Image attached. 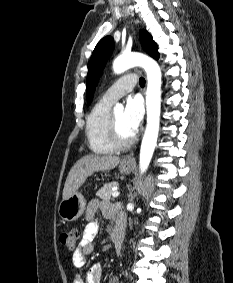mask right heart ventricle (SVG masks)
Here are the masks:
<instances>
[{
  "label": "right heart ventricle",
  "instance_id": "e07e8e85",
  "mask_svg": "<svg viewBox=\"0 0 233 283\" xmlns=\"http://www.w3.org/2000/svg\"><path fill=\"white\" fill-rule=\"evenodd\" d=\"M111 102L100 99L91 109L86 121V138L89 149L98 155H108L115 151L108 138V124Z\"/></svg>",
  "mask_w": 233,
  "mask_h": 283
}]
</instances>
